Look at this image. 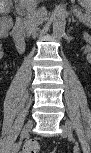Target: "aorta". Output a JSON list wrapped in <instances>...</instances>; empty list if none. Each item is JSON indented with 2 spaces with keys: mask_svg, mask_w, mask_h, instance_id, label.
I'll return each instance as SVG.
<instances>
[{
  "mask_svg": "<svg viewBox=\"0 0 91 153\" xmlns=\"http://www.w3.org/2000/svg\"><path fill=\"white\" fill-rule=\"evenodd\" d=\"M66 19L64 15V9L57 7L53 16V35L57 39H61L65 33Z\"/></svg>",
  "mask_w": 91,
  "mask_h": 153,
  "instance_id": "762f6f07",
  "label": "aorta"
}]
</instances>
